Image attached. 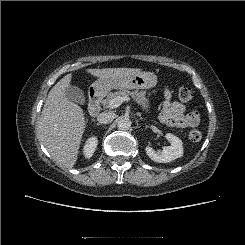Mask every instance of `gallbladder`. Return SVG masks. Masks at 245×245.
Masks as SVG:
<instances>
[{"mask_svg": "<svg viewBox=\"0 0 245 245\" xmlns=\"http://www.w3.org/2000/svg\"><path fill=\"white\" fill-rule=\"evenodd\" d=\"M65 94L68 100L75 102L79 105H84L86 103V98L84 92L77 86L69 85Z\"/></svg>", "mask_w": 245, "mask_h": 245, "instance_id": "bac80fb5", "label": "gallbladder"}]
</instances>
